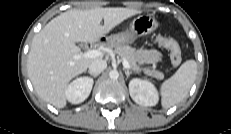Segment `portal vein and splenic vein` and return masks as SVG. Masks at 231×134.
<instances>
[{"label": "portal vein and splenic vein", "instance_id": "1", "mask_svg": "<svg viewBox=\"0 0 231 134\" xmlns=\"http://www.w3.org/2000/svg\"><path fill=\"white\" fill-rule=\"evenodd\" d=\"M103 55H104V52L102 50L93 49V50H89L83 54H80L78 57L83 56V57H88V58H96V57L103 56ZM122 63H123L124 68H126V69L130 68V64L125 58H123Z\"/></svg>", "mask_w": 231, "mask_h": 134}]
</instances>
